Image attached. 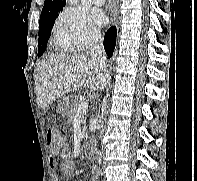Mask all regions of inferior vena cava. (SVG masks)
<instances>
[{
	"mask_svg": "<svg viewBox=\"0 0 197 181\" xmlns=\"http://www.w3.org/2000/svg\"><path fill=\"white\" fill-rule=\"evenodd\" d=\"M89 56L91 61L98 65L100 69H106V54L103 47V38L100 32L93 31L89 41Z\"/></svg>",
	"mask_w": 197,
	"mask_h": 181,
	"instance_id": "obj_1",
	"label": "inferior vena cava"
}]
</instances>
